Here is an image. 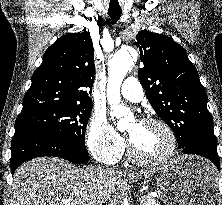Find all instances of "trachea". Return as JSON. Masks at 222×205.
I'll use <instances>...</instances> for the list:
<instances>
[{"label":"trachea","mask_w":222,"mask_h":205,"mask_svg":"<svg viewBox=\"0 0 222 205\" xmlns=\"http://www.w3.org/2000/svg\"><path fill=\"white\" fill-rule=\"evenodd\" d=\"M121 13H122V10L120 6H116V7L109 6L108 14L113 23H116L120 19Z\"/></svg>","instance_id":"obj_1"}]
</instances>
